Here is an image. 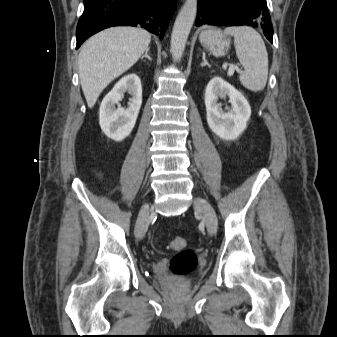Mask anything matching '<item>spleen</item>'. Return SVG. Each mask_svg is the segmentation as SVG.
Instances as JSON below:
<instances>
[{"instance_id":"1","label":"spleen","mask_w":337,"mask_h":337,"mask_svg":"<svg viewBox=\"0 0 337 337\" xmlns=\"http://www.w3.org/2000/svg\"><path fill=\"white\" fill-rule=\"evenodd\" d=\"M234 37L236 55L244 68L241 84L253 91H262L268 77V53L261 35L252 27L232 26L224 30Z\"/></svg>"}]
</instances>
